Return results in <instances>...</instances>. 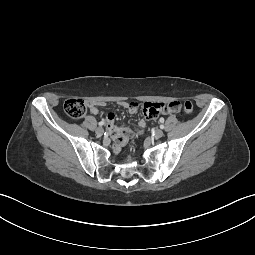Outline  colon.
<instances>
[{
    "instance_id": "obj_1",
    "label": "colon",
    "mask_w": 255,
    "mask_h": 255,
    "mask_svg": "<svg viewBox=\"0 0 255 255\" xmlns=\"http://www.w3.org/2000/svg\"><path fill=\"white\" fill-rule=\"evenodd\" d=\"M184 112L190 114L193 112V104L190 101L182 103ZM65 113L72 119H81L87 112L85 102L81 98H70L64 103Z\"/></svg>"
}]
</instances>
